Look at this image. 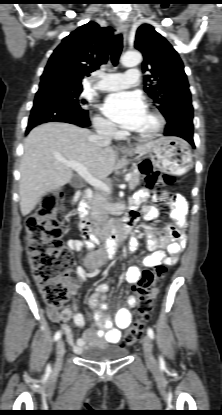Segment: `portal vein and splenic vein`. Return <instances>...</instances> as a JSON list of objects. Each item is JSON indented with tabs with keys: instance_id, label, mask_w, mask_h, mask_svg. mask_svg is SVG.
Returning <instances> with one entry per match:
<instances>
[{
	"instance_id": "portal-vein-and-splenic-vein-1",
	"label": "portal vein and splenic vein",
	"mask_w": 222,
	"mask_h": 415,
	"mask_svg": "<svg viewBox=\"0 0 222 415\" xmlns=\"http://www.w3.org/2000/svg\"><path fill=\"white\" fill-rule=\"evenodd\" d=\"M58 161L64 163L65 165H67L68 167L74 169L75 171H77V173L87 182L89 183L91 186H94L96 188L101 189L102 191L106 192L107 194L110 193V188L109 186L104 183L103 181L93 177L86 169L85 166H83L82 164L76 162V161H70V160H65L62 158H57ZM131 179V173L126 174L125 176V181L128 182Z\"/></svg>"
}]
</instances>
